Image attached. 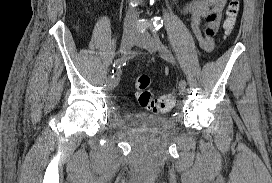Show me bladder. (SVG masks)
Returning <instances> with one entry per match:
<instances>
[{
	"label": "bladder",
	"mask_w": 272,
	"mask_h": 183,
	"mask_svg": "<svg viewBox=\"0 0 272 183\" xmlns=\"http://www.w3.org/2000/svg\"><path fill=\"white\" fill-rule=\"evenodd\" d=\"M126 118L129 124L142 126L153 133L161 131L168 124L167 117L147 113H127Z\"/></svg>",
	"instance_id": "31cf9c89"
}]
</instances>
